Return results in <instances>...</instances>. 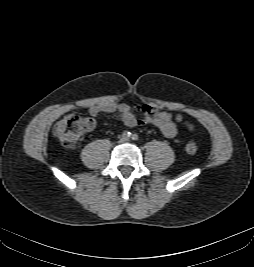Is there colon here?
Here are the masks:
<instances>
[{"label":"colon","mask_w":254,"mask_h":267,"mask_svg":"<svg viewBox=\"0 0 254 267\" xmlns=\"http://www.w3.org/2000/svg\"><path fill=\"white\" fill-rule=\"evenodd\" d=\"M94 126L95 121L92 118L72 114L58 121L54 126L53 133L63 146L72 148L79 144ZM185 150L188 154H195L198 146L196 142L189 141Z\"/></svg>","instance_id":"colon-1"}]
</instances>
